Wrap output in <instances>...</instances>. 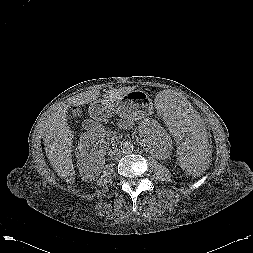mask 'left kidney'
Segmentation results:
<instances>
[{"label":"left kidney","instance_id":"left-kidney-1","mask_svg":"<svg viewBox=\"0 0 253 253\" xmlns=\"http://www.w3.org/2000/svg\"><path fill=\"white\" fill-rule=\"evenodd\" d=\"M142 143L158 156H165L171 148V137L156 120H145L138 128Z\"/></svg>","mask_w":253,"mask_h":253}]
</instances>
